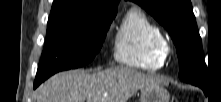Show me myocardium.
I'll return each instance as SVG.
<instances>
[{
	"label": "myocardium",
	"instance_id": "myocardium-1",
	"mask_svg": "<svg viewBox=\"0 0 221 102\" xmlns=\"http://www.w3.org/2000/svg\"><path fill=\"white\" fill-rule=\"evenodd\" d=\"M160 50H161V53H162L164 59H166L170 55V53L172 52V48H171L170 44L166 40L160 46Z\"/></svg>",
	"mask_w": 221,
	"mask_h": 102
}]
</instances>
